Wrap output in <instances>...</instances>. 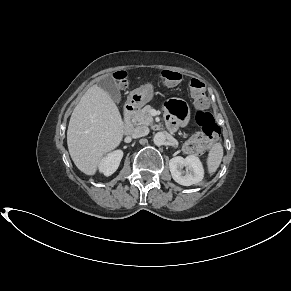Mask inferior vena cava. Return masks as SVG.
Returning a JSON list of instances; mask_svg holds the SVG:
<instances>
[{
	"label": "inferior vena cava",
	"mask_w": 291,
	"mask_h": 291,
	"mask_svg": "<svg viewBox=\"0 0 291 291\" xmlns=\"http://www.w3.org/2000/svg\"><path fill=\"white\" fill-rule=\"evenodd\" d=\"M149 133V128L146 126H138L136 127L133 132H132V137L133 138H140L148 135Z\"/></svg>",
	"instance_id": "obj_1"
}]
</instances>
